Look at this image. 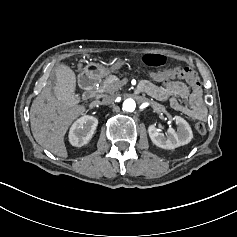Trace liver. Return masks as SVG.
I'll list each match as a JSON object with an SVG mask.
<instances>
[{
  "label": "liver",
  "mask_w": 237,
  "mask_h": 237,
  "mask_svg": "<svg viewBox=\"0 0 237 237\" xmlns=\"http://www.w3.org/2000/svg\"><path fill=\"white\" fill-rule=\"evenodd\" d=\"M78 99L71 107L59 102L48 92H41L30 109V126L37 144L52 154L67 158L64 138L70 126L87 113L86 105L78 104Z\"/></svg>",
  "instance_id": "liver-1"
}]
</instances>
